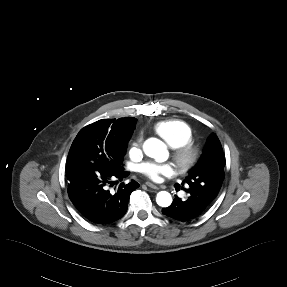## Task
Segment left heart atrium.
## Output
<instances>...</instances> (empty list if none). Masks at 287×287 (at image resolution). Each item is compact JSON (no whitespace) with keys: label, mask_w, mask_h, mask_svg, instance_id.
Returning a JSON list of instances; mask_svg holds the SVG:
<instances>
[{"label":"left heart atrium","mask_w":287,"mask_h":287,"mask_svg":"<svg viewBox=\"0 0 287 287\" xmlns=\"http://www.w3.org/2000/svg\"><path fill=\"white\" fill-rule=\"evenodd\" d=\"M141 173L154 182H159L163 176H172L176 170L170 163H144L140 167Z\"/></svg>","instance_id":"1"}]
</instances>
